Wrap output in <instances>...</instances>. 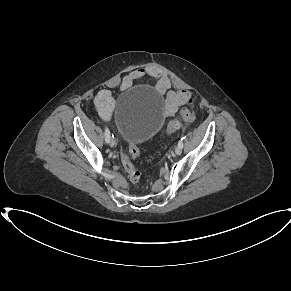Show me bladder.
I'll list each match as a JSON object with an SVG mask.
<instances>
[{
  "label": "bladder",
  "mask_w": 291,
  "mask_h": 291,
  "mask_svg": "<svg viewBox=\"0 0 291 291\" xmlns=\"http://www.w3.org/2000/svg\"><path fill=\"white\" fill-rule=\"evenodd\" d=\"M161 100L147 86L126 89L115 112L117 129L128 144L142 145L153 138L164 124Z\"/></svg>",
  "instance_id": "31cf9c89"
}]
</instances>
